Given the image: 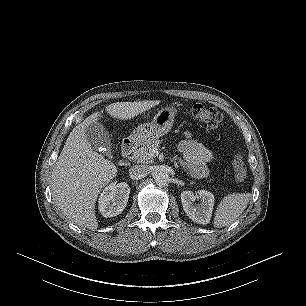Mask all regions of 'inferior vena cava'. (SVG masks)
Here are the masks:
<instances>
[{"instance_id":"obj_1","label":"inferior vena cava","mask_w":306,"mask_h":306,"mask_svg":"<svg viewBox=\"0 0 306 306\" xmlns=\"http://www.w3.org/2000/svg\"><path fill=\"white\" fill-rule=\"evenodd\" d=\"M150 173V169L147 165H134L129 169V176L132 179L138 180Z\"/></svg>"}]
</instances>
